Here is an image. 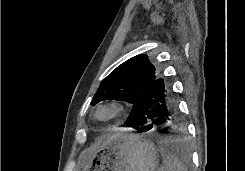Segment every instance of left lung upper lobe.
I'll return each instance as SVG.
<instances>
[{
	"label": "left lung upper lobe",
	"mask_w": 245,
	"mask_h": 171,
	"mask_svg": "<svg viewBox=\"0 0 245 171\" xmlns=\"http://www.w3.org/2000/svg\"><path fill=\"white\" fill-rule=\"evenodd\" d=\"M157 78L158 74L148 56L139 54L122 63L104 79L91 104L114 99L126 101L135 106L141 92Z\"/></svg>",
	"instance_id": "left-lung-upper-lobe-1"
}]
</instances>
